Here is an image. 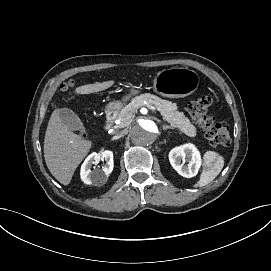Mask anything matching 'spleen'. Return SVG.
<instances>
[{
  "mask_svg": "<svg viewBox=\"0 0 271 271\" xmlns=\"http://www.w3.org/2000/svg\"><path fill=\"white\" fill-rule=\"evenodd\" d=\"M224 166V159L215 152H207L204 155L203 171L200 180L195 187H203L212 182L221 172Z\"/></svg>",
  "mask_w": 271,
  "mask_h": 271,
  "instance_id": "3e777b00",
  "label": "spleen"
}]
</instances>
